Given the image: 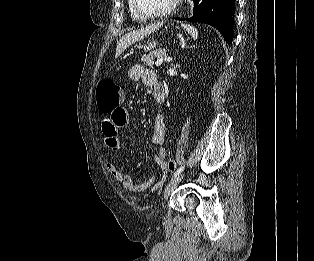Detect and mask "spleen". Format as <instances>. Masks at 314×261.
Wrapping results in <instances>:
<instances>
[{
	"mask_svg": "<svg viewBox=\"0 0 314 261\" xmlns=\"http://www.w3.org/2000/svg\"><path fill=\"white\" fill-rule=\"evenodd\" d=\"M183 27L185 28V30L191 35V37L196 40L198 39V31L196 28H194L193 26L191 25H183Z\"/></svg>",
	"mask_w": 314,
	"mask_h": 261,
	"instance_id": "obj_1",
	"label": "spleen"
}]
</instances>
